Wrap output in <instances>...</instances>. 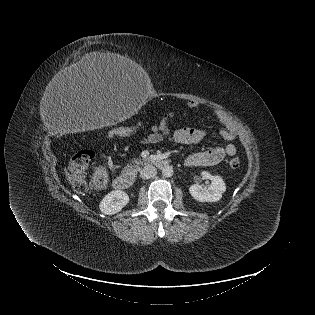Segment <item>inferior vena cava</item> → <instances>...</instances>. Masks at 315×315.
Here are the masks:
<instances>
[{"mask_svg": "<svg viewBox=\"0 0 315 315\" xmlns=\"http://www.w3.org/2000/svg\"><path fill=\"white\" fill-rule=\"evenodd\" d=\"M157 174V169L150 165L146 164L141 170H140V177L142 179H150L153 178Z\"/></svg>", "mask_w": 315, "mask_h": 315, "instance_id": "inferior-vena-cava-1", "label": "inferior vena cava"}]
</instances>
